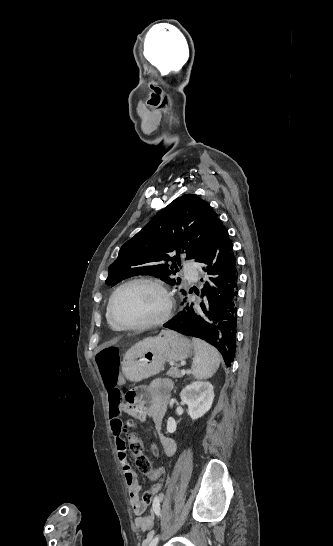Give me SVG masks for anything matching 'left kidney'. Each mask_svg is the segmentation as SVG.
I'll use <instances>...</instances> for the list:
<instances>
[{
    "mask_svg": "<svg viewBox=\"0 0 333 546\" xmlns=\"http://www.w3.org/2000/svg\"><path fill=\"white\" fill-rule=\"evenodd\" d=\"M180 397L187 404L190 417L196 420L210 410L214 399L213 386L209 382H193L181 391ZM176 427V421L170 417L167 431L173 433Z\"/></svg>",
    "mask_w": 333,
    "mask_h": 546,
    "instance_id": "obj_1",
    "label": "left kidney"
}]
</instances>
